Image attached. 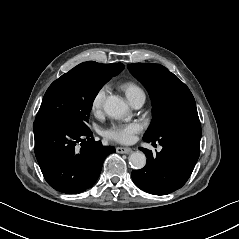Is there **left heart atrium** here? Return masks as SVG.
Wrapping results in <instances>:
<instances>
[{
    "label": "left heart atrium",
    "instance_id": "left-heart-atrium-1",
    "mask_svg": "<svg viewBox=\"0 0 239 239\" xmlns=\"http://www.w3.org/2000/svg\"><path fill=\"white\" fill-rule=\"evenodd\" d=\"M142 128L143 124L140 120H132L128 122L116 121L106 128L104 134L111 140L128 144L135 140V135L139 133Z\"/></svg>",
    "mask_w": 239,
    "mask_h": 239
}]
</instances>
